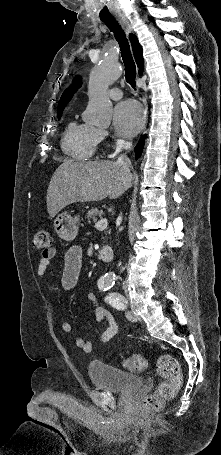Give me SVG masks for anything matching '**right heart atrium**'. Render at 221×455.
<instances>
[{"instance_id":"1","label":"right heart atrium","mask_w":221,"mask_h":455,"mask_svg":"<svg viewBox=\"0 0 221 455\" xmlns=\"http://www.w3.org/2000/svg\"><path fill=\"white\" fill-rule=\"evenodd\" d=\"M108 139V133L104 130L97 129L98 143H102Z\"/></svg>"}]
</instances>
